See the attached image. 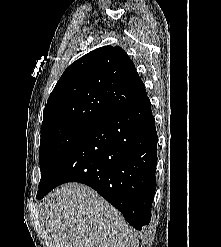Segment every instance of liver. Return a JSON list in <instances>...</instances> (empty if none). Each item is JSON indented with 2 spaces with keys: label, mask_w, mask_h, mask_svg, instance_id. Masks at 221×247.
<instances>
[{
  "label": "liver",
  "mask_w": 221,
  "mask_h": 247,
  "mask_svg": "<svg viewBox=\"0 0 221 247\" xmlns=\"http://www.w3.org/2000/svg\"><path fill=\"white\" fill-rule=\"evenodd\" d=\"M55 247H138L137 233L93 189L67 183L39 207Z\"/></svg>",
  "instance_id": "obj_1"
}]
</instances>
